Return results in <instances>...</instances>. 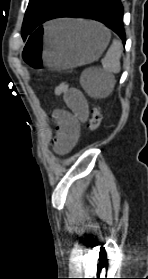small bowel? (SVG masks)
I'll list each match as a JSON object with an SVG mask.
<instances>
[{
    "instance_id": "small-bowel-1",
    "label": "small bowel",
    "mask_w": 148,
    "mask_h": 279,
    "mask_svg": "<svg viewBox=\"0 0 148 279\" xmlns=\"http://www.w3.org/2000/svg\"><path fill=\"white\" fill-rule=\"evenodd\" d=\"M65 101L69 110H58L56 120L55 151L66 154L77 144L80 136V123L88 117V104L81 92L68 90Z\"/></svg>"
}]
</instances>
